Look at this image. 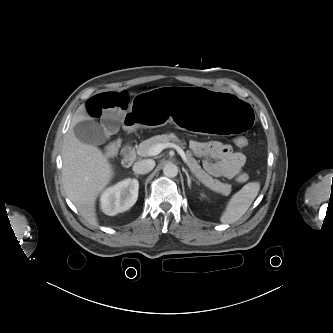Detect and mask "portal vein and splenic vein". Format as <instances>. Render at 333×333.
<instances>
[{
  "label": "portal vein and splenic vein",
  "instance_id": "portal-vein-and-splenic-vein-1",
  "mask_svg": "<svg viewBox=\"0 0 333 333\" xmlns=\"http://www.w3.org/2000/svg\"><path fill=\"white\" fill-rule=\"evenodd\" d=\"M165 148H174L180 154L183 161L185 163H187L188 160H187V156H186L185 152L183 151V149L180 146H178L174 143H169V142L168 143H159L150 148L149 155L150 156L158 155Z\"/></svg>",
  "mask_w": 333,
  "mask_h": 333
}]
</instances>
